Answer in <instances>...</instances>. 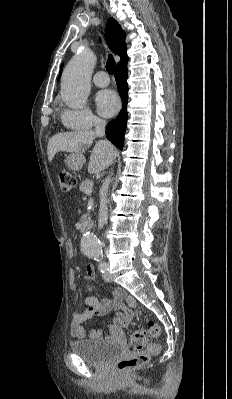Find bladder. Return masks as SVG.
I'll use <instances>...</instances> for the list:
<instances>
[{
    "label": "bladder",
    "mask_w": 232,
    "mask_h": 399,
    "mask_svg": "<svg viewBox=\"0 0 232 399\" xmlns=\"http://www.w3.org/2000/svg\"><path fill=\"white\" fill-rule=\"evenodd\" d=\"M69 347L72 353L91 365H103L123 352L120 344L102 340L72 341Z\"/></svg>",
    "instance_id": "obj_1"
}]
</instances>
